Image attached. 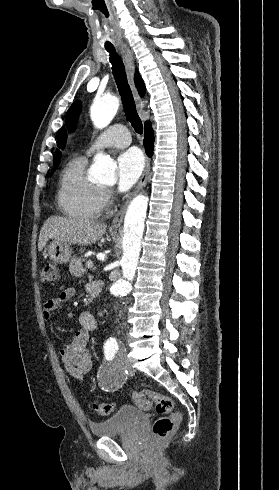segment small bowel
Returning <instances> with one entry per match:
<instances>
[{
  "label": "small bowel",
  "mask_w": 279,
  "mask_h": 490,
  "mask_svg": "<svg viewBox=\"0 0 279 490\" xmlns=\"http://www.w3.org/2000/svg\"><path fill=\"white\" fill-rule=\"evenodd\" d=\"M91 294L97 292V286L91 285L88 287ZM75 296V290L68 288L60 292L56 297H53L45 302L44 317L48 320L52 312L59 309L63 304L70 301ZM99 314L102 316L104 311L101 309ZM80 329L74 334L72 340L62 346L60 350L61 361L66 372L82 380L84 374L87 373L92 366L91 355L88 350V343L92 331L98 328L95 318L89 312H80L78 315Z\"/></svg>",
  "instance_id": "small-bowel-1"
}]
</instances>
